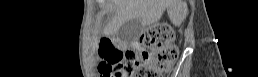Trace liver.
<instances>
[{
    "mask_svg": "<svg viewBox=\"0 0 258 77\" xmlns=\"http://www.w3.org/2000/svg\"><path fill=\"white\" fill-rule=\"evenodd\" d=\"M116 10L110 28L117 31L126 21L139 19L142 26H149L160 20L165 9H170V19L178 25L187 13L185 0H113Z\"/></svg>",
    "mask_w": 258,
    "mask_h": 77,
    "instance_id": "obj_1",
    "label": "liver"
}]
</instances>
